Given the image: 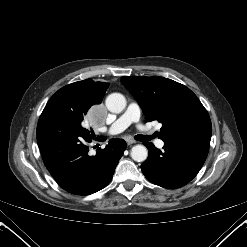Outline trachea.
<instances>
[{"mask_svg": "<svg viewBox=\"0 0 247 247\" xmlns=\"http://www.w3.org/2000/svg\"><path fill=\"white\" fill-rule=\"evenodd\" d=\"M136 140L138 141H149L153 138V136H148V135H137Z\"/></svg>", "mask_w": 247, "mask_h": 247, "instance_id": "trachea-1", "label": "trachea"}]
</instances>
